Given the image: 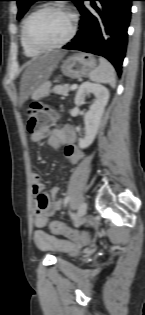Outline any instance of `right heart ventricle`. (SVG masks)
<instances>
[{"mask_svg":"<svg viewBox=\"0 0 145 315\" xmlns=\"http://www.w3.org/2000/svg\"><path fill=\"white\" fill-rule=\"evenodd\" d=\"M28 16H29V15H28ZM28 16H27V17H28ZM27 17L25 18V20H24V22L22 23V26H21V30H20V42H21L23 51H24V53H25L26 56H28V57H36V56H39V55L42 53V51L30 47V46L26 43L25 38H24L23 29H24V24H25V21H26Z\"/></svg>","mask_w":145,"mask_h":315,"instance_id":"obj_1","label":"right heart ventricle"}]
</instances>
